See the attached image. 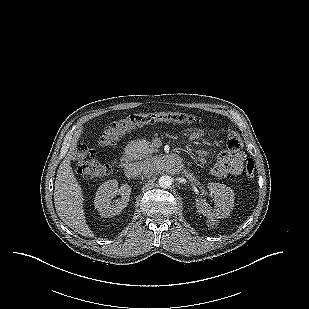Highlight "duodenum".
Wrapping results in <instances>:
<instances>
[{
    "mask_svg": "<svg viewBox=\"0 0 309 309\" xmlns=\"http://www.w3.org/2000/svg\"><path fill=\"white\" fill-rule=\"evenodd\" d=\"M133 162V153L132 151L128 150L125 154L121 157V164L123 168L128 169Z\"/></svg>",
    "mask_w": 309,
    "mask_h": 309,
    "instance_id": "obj_1",
    "label": "duodenum"
}]
</instances>
